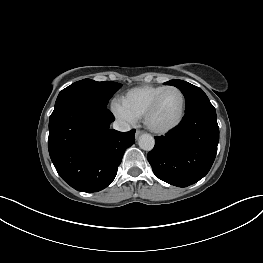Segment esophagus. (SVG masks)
I'll list each match as a JSON object with an SVG mask.
<instances>
[{"label":"esophagus","instance_id":"1","mask_svg":"<svg viewBox=\"0 0 263 263\" xmlns=\"http://www.w3.org/2000/svg\"><path fill=\"white\" fill-rule=\"evenodd\" d=\"M141 134H143V131L137 130L135 133V137L138 138Z\"/></svg>","mask_w":263,"mask_h":263}]
</instances>
